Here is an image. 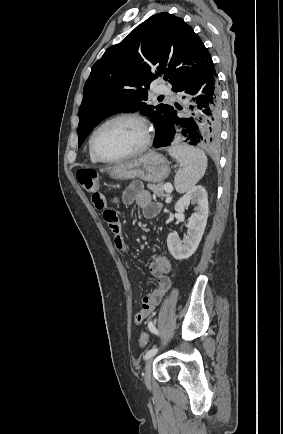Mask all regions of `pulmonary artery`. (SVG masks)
I'll list each match as a JSON object with an SVG mask.
<instances>
[{
    "mask_svg": "<svg viewBox=\"0 0 283 434\" xmlns=\"http://www.w3.org/2000/svg\"><path fill=\"white\" fill-rule=\"evenodd\" d=\"M157 94L174 95L173 92L164 84H160L155 89Z\"/></svg>",
    "mask_w": 283,
    "mask_h": 434,
    "instance_id": "obj_1",
    "label": "pulmonary artery"
}]
</instances>
